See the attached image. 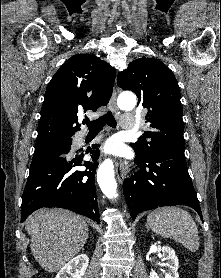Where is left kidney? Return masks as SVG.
<instances>
[{
  "label": "left kidney",
  "instance_id": "5707ae66",
  "mask_svg": "<svg viewBox=\"0 0 221 278\" xmlns=\"http://www.w3.org/2000/svg\"><path fill=\"white\" fill-rule=\"evenodd\" d=\"M162 253H163V258L166 261L165 263L162 264V266L168 268V271L165 272V278H179V274H178L179 261L175 254V251L168 246H163ZM150 278H161V277H159L158 274L152 270L150 272Z\"/></svg>",
  "mask_w": 221,
  "mask_h": 278
}]
</instances>
